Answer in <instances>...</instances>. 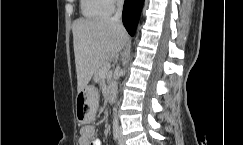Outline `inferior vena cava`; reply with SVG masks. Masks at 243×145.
I'll use <instances>...</instances> for the list:
<instances>
[{
  "mask_svg": "<svg viewBox=\"0 0 243 145\" xmlns=\"http://www.w3.org/2000/svg\"><path fill=\"white\" fill-rule=\"evenodd\" d=\"M122 8H123V0H117V10L115 15L112 17L113 21L121 22Z\"/></svg>",
  "mask_w": 243,
  "mask_h": 145,
  "instance_id": "inferior-vena-cava-1",
  "label": "inferior vena cava"
}]
</instances>
